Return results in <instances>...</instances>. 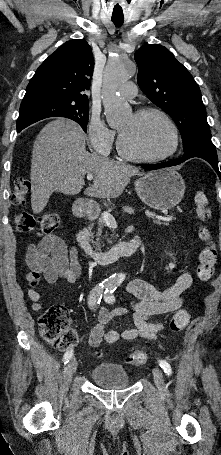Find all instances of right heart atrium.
Returning a JSON list of instances; mask_svg holds the SVG:
<instances>
[{
	"instance_id": "right-heart-atrium-1",
	"label": "right heart atrium",
	"mask_w": 221,
	"mask_h": 455,
	"mask_svg": "<svg viewBox=\"0 0 221 455\" xmlns=\"http://www.w3.org/2000/svg\"><path fill=\"white\" fill-rule=\"evenodd\" d=\"M116 133L97 115L88 122V139L91 149L100 155H108L115 141Z\"/></svg>"
}]
</instances>
